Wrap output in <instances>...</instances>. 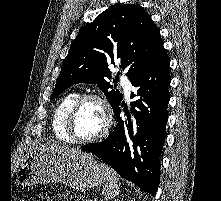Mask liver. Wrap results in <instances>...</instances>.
I'll list each match as a JSON object with an SVG mask.
<instances>
[{
  "mask_svg": "<svg viewBox=\"0 0 221 201\" xmlns=\"http://www.w3.org/2000/svg\"><path fill=\"white\" fill-rule=\"evenodd\" d=\"M38 150H42V151H50V152H60V153H70V152H76V151H81L79 149L76 148H69L66 146H62L59 144H44L41 145Z\"/></svg>",
  "mask_w": 221,
  "mask_h": 201,
  "instance_id": "liver-1",
  "label": "liver"
}]
</instances>
